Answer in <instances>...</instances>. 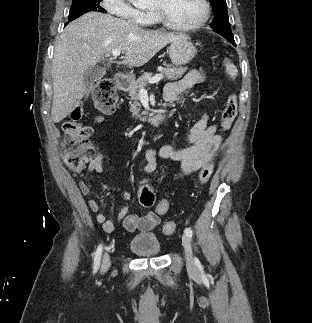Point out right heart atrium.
Wrapping results in <instances>:
<instances>
[{
    "mask_svg": "<svg viewBox=\"0 0 312 323\" xmlns=\"http://www.w3.org/2000/svg\"><path fill=\"white\" fill-rule=\"evenodd\" d=\"M104 13H115L123 17V22H142L143 10H138L134 2L129 0H104Z\"/></svg>",
    "mask_w": 312,
    "mask_h": 323,
    "instance_id": "obj_1",
    "label": "right heart atrium"
}]
</instances>
